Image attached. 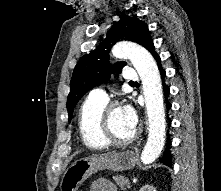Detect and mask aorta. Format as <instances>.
I'll return each instance as SVG.
<instances>
[{"instance_id":"1","label":"aorta","mask_w":221,"mask_h":191,"mask_svg":"<svg viewBox=\"0 0 221 191\" xmlns=\"http://www.w3.org/2000/svg\"><path fill=\"white\" fill-rule=\"evenodd\" d=\"M112 55L119 59H130L142 80L149 134L141 153V160L144 164H150L159 157L165 143V111L158 66L153 56L145 48L130 42L115 44Z\"/></svg>"}]
</instances>
